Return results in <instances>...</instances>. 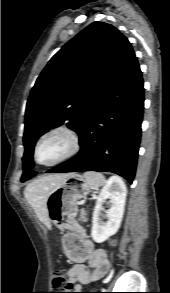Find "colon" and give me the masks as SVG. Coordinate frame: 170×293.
<instances>
[{
	"instance_id": "1",
	"label": "colon",
	"mask_w": 170,
	"mask_h": 293,
	"mask_svg": "<svg viewBox=\"0 0 170 293\" xmlns=\"http://www.w3.org/2000/svg\"><path fill=\"white\" fill-rule=\"evenodd\" d=\"M52 284L55 290L60 291L53 293H73L69 292L72 291V289L68 287L62 273H57L54 275Z\"/></svg>"
}]
</instances>
